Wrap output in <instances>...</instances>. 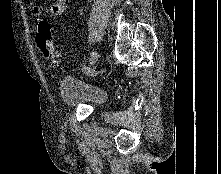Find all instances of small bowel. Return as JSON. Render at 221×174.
<instances>
[{
	"mask_svg": "<svg viewBox=\"0 0 221 174\" xmlns=\"http://www.w3.org/2000/svg\"><path fill=\"white\" fill-rule=\"evenodd\" d=\"M67 10L66 0H54L50 6V14L54 17H62ZM30 11L33 16L39 17L42 13V8L36 2H32L30 5Z\"/></svg>",
	"mask_w": 221,
	"mask_h": 174,
	"instance_id": "c3829d8e",
	"label": "small bowel"
}]
</instances>
